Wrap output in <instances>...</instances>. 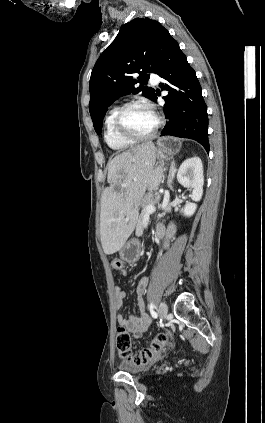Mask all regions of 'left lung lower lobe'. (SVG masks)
I'll return each instance as SVG.
<instances>
[{
  "label": "left lung lower lobe",
  "mask_w": 265,
  "mask_h": 423,
  "mask_svg": "<svg viewBox=\"0 0 265 423\" xmlns=\"http://www.w3.org/2000/svg\"><path fill=\"white\" fill-rule=\"evenodd\" d=\"M156 74L165 80L168 91L164 113L168 122L161 136L171 135L196 140L209 152L207 107L195 71L178 43L171 37ZM157 101V95L153 99Z\"/></svg>",
  "instance_id": "obj_1"
}]
</instances>
